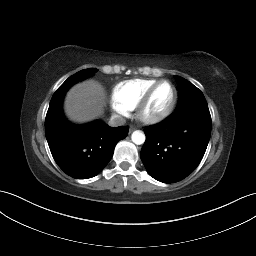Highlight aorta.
Instances as JSON below:
<instances>
[{
  "instance_id": "obj_1",
  "label": "aorta",
  "mask_w": 256,
  "mask_h": 256,
  "mask_svg": "<svg viewBox=\"0 0 256 256\" xmlns=\"http://www.w3.org/2000/svg\"><path fill=\"white\" fill-rule=\"evenodd\" d=\"M131 139L136 145H141L145 142V135L142 131L136 130L132 133Z\"/></svg>"
}]
</instances>
